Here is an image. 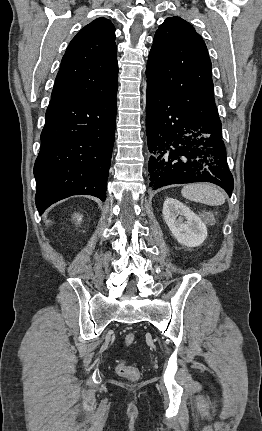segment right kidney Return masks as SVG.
Returning <instances> with one entry per match:
<instances>
[{
  "label": "right kidney",
  "mask_w": 262,
  "mask_h": 431,
  "mask_svg": "<svg viewBox=\"0 0 262 431\" xmlns=\"http://www.w3.org/2000/svg\"><path fill=\"white\" fill-rule=\"evenodd\" d=\"M75 218H77L78 222L82 220V217L75 214Z\"/></svg>",
  "instance_id": "ca27d5eb"
}]
</instances>
